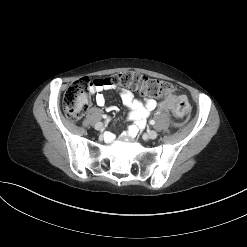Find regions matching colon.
Listing matches in <instances>:
<instances>
[{"instance_id":"colon-1","label":"colon","mask_w":247,"mask_h":247,"mask_svg":"<svg viewBox=\"0 0 247 247\" xmlns=\"http://www.w3.org/2000/svg\"><path fill=\"white\" fill-rule=\"evenodd\" d=\"M107 83L115 86L132 87L137 91L153 96L166 94L162 106L172 110L177 117L183 118L188 112V103L184 96H176L172 93L173 86L163 80L149 78L141 74L128 71L115 74L107 79L81 78L73 82L65 92L63 107L66 115L72 120L82 117L89 105L88 93L96 84Z\"/></svg>"}]
</instances>
